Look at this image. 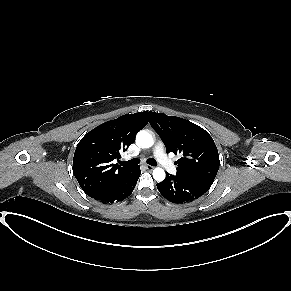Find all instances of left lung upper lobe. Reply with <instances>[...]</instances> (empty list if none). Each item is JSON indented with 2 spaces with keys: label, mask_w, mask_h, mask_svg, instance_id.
I'll return each mask as SVG.
<instances>
[{
  "label": "left lung upper lobe",
  "mask_w": 291,
  "mask_h": 291,
  "mask_svg": "<svg viewBox=\"0 0 291 291\" xmlns=\"http://www.w3.org/2000/svg\"><path fill=\"white\" fill-rule=\"evenodd\" d=\"M150 124L163 140L167 153H180L177 175L213 183L219 154L210 134L198 125L175 116L150 112Z\"/></svg>",
  "instance_id": "left-lung-upper-lobe-1"
}]
</instances>
